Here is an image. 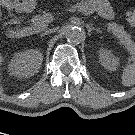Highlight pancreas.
Wrapping results in <instances>:
<instances>
[{"label": "pancreas", "instance_id": "1", "mask_svg": "<svg viewBox=\"0 0 135 135\" xmlns=\"http://www.w3.org/2000/svg\"><path fill=\"white\" fill-rule=\"evenodd\" d=\"M51 17L52 15L49 13L33 16L31 20V29L33 30V32L44 30L48 26ZM107 28L108 31L112 32L113 35L118 38L119 43L123 45L129 53L135 54V43L131 40V36L126 31H124V27L119 26L114 22H110L108 23Z\"/></svg>", "mask_w": 135, "mask_h": 135}]
</instances>
